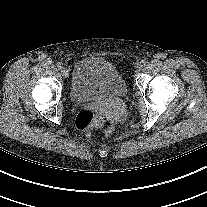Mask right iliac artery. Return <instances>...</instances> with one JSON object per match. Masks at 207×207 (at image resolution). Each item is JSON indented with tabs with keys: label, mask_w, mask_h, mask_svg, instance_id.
I'll return each mask as SVG.
<instances>
[{
	"label": "right iliac artery",
	"mask_w": 207,
	"mask_h": 207,
	"mask_svg": "<svg viewBox=\"0 0 207 207\" xmlns=\"http://www.w3.org/2000/svg\"><path fill=\"white\" fill-rule=\"evenodd\" d=\"M57 67H58L59 69L63 68V63H62V62H58V63H57Z\"/></svg>",
	"instance_id": "obj_1"
}]
</instances>
